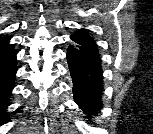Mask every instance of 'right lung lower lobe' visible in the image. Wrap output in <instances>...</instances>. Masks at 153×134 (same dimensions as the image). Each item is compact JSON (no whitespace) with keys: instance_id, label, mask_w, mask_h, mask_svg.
I'll use <instances>...</instances> for the list:
<instances>
[{"instance_id":"98d812e1","label":"right lung lower lobe","mask_w":153,"mask_h":134,"mask_svg":"<svg viewBox=\"0 0 153 134\" xmlns=\"http://www.w3.org/2000/svg\"><path fill=\"white\" fill-rule=\"evenodd\" d=\"M16 51L11 45L0 46V125L5 124L4 117L9 104V97L14 87Z\"/></svg>"}]
</instances>
